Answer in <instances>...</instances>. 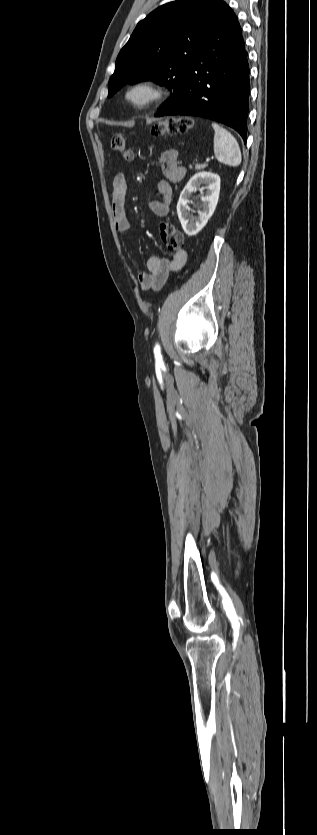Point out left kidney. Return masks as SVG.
<instances>
[{
    "instance_id": "1",
    "label": "left kidney",
    "mask_w": 317,
    "mask_h": 835,
    "mask_svg": "<svg viewBox=\"0 0 317 835\" xmlns=\"http://www.w3.org/2000/svg\"><path fill=\"white\" fill-rule=\"evenodd\" d=\"M202 184L206 186L200 187ZM205 189H207V193L204 196ZM196 191H200L202 195V205L200 206L202 210L198 211V217L193 218L189 215V203H192L190 197ZM219 193L220 177L217 174L202 171L190 178L182 190L177 203V214L182 228L187 235H196L206 225L216 209Z\"/></svg>"
}]
</instances>
